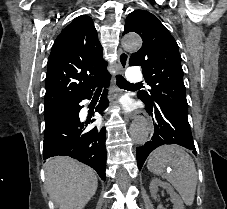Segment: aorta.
Masks as SVG:
<instances>
[{"label": "aorta", "mask_w": 227, "mask_h": 209, "mask_svg": "<svg viewBox=\"0 0 227 209\" xmlns=\"http://www.w3.org/2000/svg\"><path fill=\"white\" fill-rule=\"evenodd\" d=\"M122 44L128 51H137L142 45V40L138 35L130 34L124 37ZM149 132L146 121L144 119H139L133 124L130 135L134 143L142 145L147 141Z\"/></svg>", "instance_id": "762f6f07"}]
</instances>
